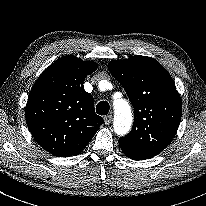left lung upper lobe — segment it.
Returning <instances> with one entry per match:
<instances>
[{
  "instance_id": "5c2ea615",
  "label": "left lung upper lobe",
  "mask_w": 206,
  "mask_h": 206,
  "mask_svg": "<svg viewBox=\"0 0 206 206\" xmlns=\"http://www.w3.org/2000/svg\"><path fill=\"white\" fill-rule=\"evenodd\" d=\"M135 110L131 132L119 144L157 155L172 141L181 120L182 102L167 70L154 58L133 56L108 64Z\"/></svg>"
}]
</instances>
